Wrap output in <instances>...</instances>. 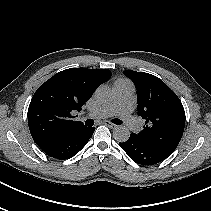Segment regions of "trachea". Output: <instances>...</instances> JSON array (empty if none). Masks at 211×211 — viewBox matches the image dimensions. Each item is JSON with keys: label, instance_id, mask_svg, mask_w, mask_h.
Here are the masks:
<instances>
[{"label": "trachea", "instance_id": "1", "mask_svg": "<svg viewBox=\"0 0 211 211\" xmlns=\"http://www.w3.org/2000/svg\"><path fill=\"white\" fill-rule=\"evenodd\" d=\"M112 123L114 124H117V125H121L122 124V121L120 119H113L112 120ZM86 126H93L94 124V121L92 119H88L86 122H85Z\"/></svg>", "mask_w": 211, "mask_h": 211}]
</instances>
